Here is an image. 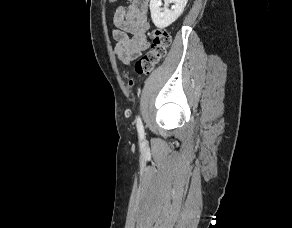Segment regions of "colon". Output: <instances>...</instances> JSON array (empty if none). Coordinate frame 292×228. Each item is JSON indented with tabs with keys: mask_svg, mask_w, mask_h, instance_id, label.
I'll return each mask as SVG.
<instances>
[{
	"mask_svg": "<svg viewBox=\"0 0 292 228\" xmlns=\"http://www.w3.org/2000/svg\"><path fill=\"white\" fill-rule=\"evenodd\" d=\"M151 40L150 50L135 63V71L140 76L149 75L166 56L171 44V35L166 29L157 28L152 31ZM130 85H132L131 81Z\"/></svg>",
	"mask_w": 292,
	"mask_h": 228,
	"instance_id": "5ec220e1",
	"label": "colon"
}]
</instances>
